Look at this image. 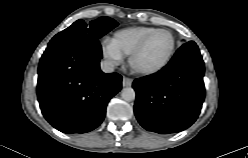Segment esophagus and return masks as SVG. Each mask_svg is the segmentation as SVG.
<instances>
[{"mask_svg":"<svg viewBox=\"0 0 248 158\" xmlns=\"http://www.w3.org/2000/svg\"><path fill=\"white\" fill-rule=\"evenodd\" d=\"M133 80L129 77H123L122 85L123 87H130L132 85Z\"/></svg>","mask_w":248,"mask_h":158,"instance_id":"1","label":"esophagus"}]
</instances>
